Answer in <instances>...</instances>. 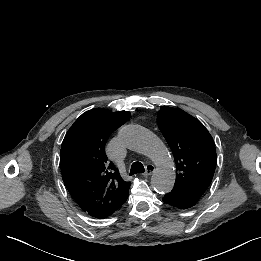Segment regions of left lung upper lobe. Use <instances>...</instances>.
Masks as SVG:
<instances>
[{"mask_svg":"<svg viewBox=\"0 0 261 261\" xmlns=\"http://www.w3.org/2000/svg\"><path fill=\"white\" fill-rule=\"evenodd\" d=\"M158 126L174 155V188L200 198L212 181L217 163L211 135L199 120L168 106L158 112Z\"/></svg>","mask_w":261,"mask_h":261,"instance_id":"1","label":"left lung upper lobe"}]
</instances>
